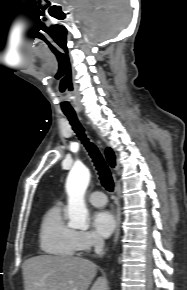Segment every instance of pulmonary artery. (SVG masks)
<instances>
[{"mask_svg":"<svg viewBox=\"0 0 187 290\" xmlns=\"http://www.w3.org/2000/svg\"><path fill=\"white\" fill-rule=\"evenodd\" d=\"M89 201L94 206H104L107 202L103 192L96 191L90 194Z\"/></svg>","mask_w":187,"mask_h":290,"instance_id":"pulmonary-artery-1","label":"pulmonary artery"}]
</instances>
